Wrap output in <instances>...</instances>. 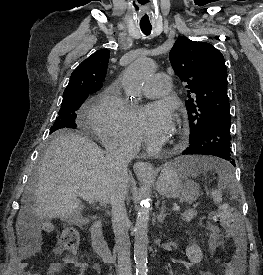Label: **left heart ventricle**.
Returning <instances> with one entry per match:
<instances>
[{"label": "left heart ventricle", "mask_w": 263, "mask_h": 275, "mask_svg": "<svg viewBox=\"0 0 263 275\" xmlns=\"http://www.w3.org/2000/svg\"><path fill=\"white\" fill-rule=\"evenodd\" d=\"M175 135H176V130H175V127L173 126L171 128V130L169 131V133L167 134V136L164 140V143L167 144V143L171 142L172 140H174Z\"/></svg>", "instance_id": "obj_1"}]
</instances>
